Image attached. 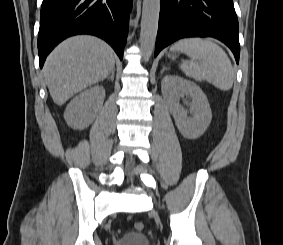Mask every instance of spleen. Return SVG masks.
<instances>
[{"label":"spleen","mask_w":283,"mask_h":245,"mask_svg":"<svg viewBox=\"0 0 283 245\" xmlns=\"http://www.w3.org/2000/svg\"><path fill=\"white\" fill-rule=\"evenodd\" d=\"M182 51L191 60L183 61L180 68L196 81H207L222 91L230 90L235 79L234 69L225 51L209 39H181L170 48Z\"/></svg>","instance_id":"spleen-1"}]
</instances>
